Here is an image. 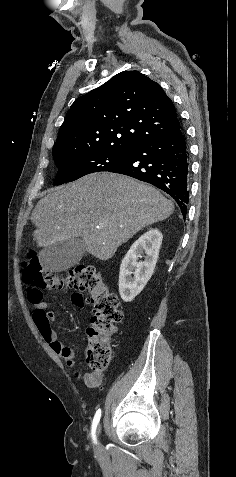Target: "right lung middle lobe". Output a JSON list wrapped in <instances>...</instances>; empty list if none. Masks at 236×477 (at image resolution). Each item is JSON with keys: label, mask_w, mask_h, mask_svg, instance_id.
<instances>
[{"label": "right lung middle lobe", "mask_w": 236, "mask_h": 477, "mask_svg": "<svg viewBox=\"0 0 236 477\" xmlns=\"http://www.w3.org/2000/svg\"><path fill=\"white\" fill-rule=\"evenodd\" d=\"M59 168L54 185L77 180L85 175L110 171L127 161V154L89 150L77 155L53 157Z\"/></svg>", "instance_id": "1"}]
</instances>
